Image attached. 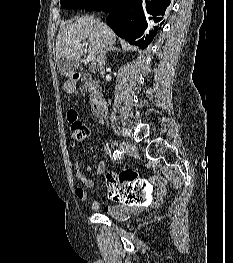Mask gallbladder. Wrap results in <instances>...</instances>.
<instances>
[{"mask_svg": "<svg viewBox=\"0 0 233 263\" xmlns=\"http://www.w3.org/2000/svg\"><path fill=\"white\" fill-rule=\"evenodd\" d=\"M62 65V59L57 60V69L60 71V66Z\"/></svg>", "mask_w": 233, "mask_h": 263, "instance_id": "obj_1", "label": "gallbladder"}]
</instances>
